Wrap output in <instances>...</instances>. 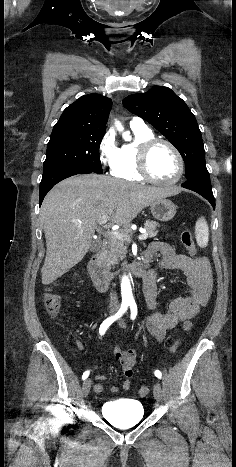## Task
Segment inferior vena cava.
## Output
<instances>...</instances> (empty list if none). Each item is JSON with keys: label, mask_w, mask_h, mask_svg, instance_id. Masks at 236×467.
<instances>
[{"label": "inferior vena cava", "mask_w": 236, "mask_h": 467, "mask_svg": "<svg viewBox=\"0 0 236 467\" xmlns=\"http://www.w3.org/2000/svg\"><path fill=\"white\" fill-rule=\"evenodd\" d=\"M110 306H114V307H118L119 306V302H118V297L116 295V292L115 291H111L110 292Z\"/></svg>", "instance_id": "1"}]
</instances>
